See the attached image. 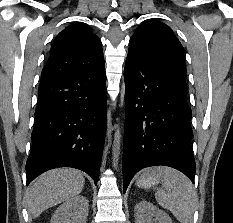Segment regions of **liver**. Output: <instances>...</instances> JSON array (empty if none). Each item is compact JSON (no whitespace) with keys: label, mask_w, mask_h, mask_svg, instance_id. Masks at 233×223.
<instances>
[{"label":"liver","mask_w":233,"mask_h":223,"mask_svg":"<svg viewBox=\"0 0 233 223\" xmlns=\"http://www.w3.org/2000/svg\"><path fill=\"white\" fill-rule=\"evenodd\" d=\"M84 175L79 169L59 167L50 169L37 177L25 195L28 211L32 217H39L42 211L66 201L81 193L84 187Z\"/></svg>","instance_id":"liver-1"}]
</instances>
